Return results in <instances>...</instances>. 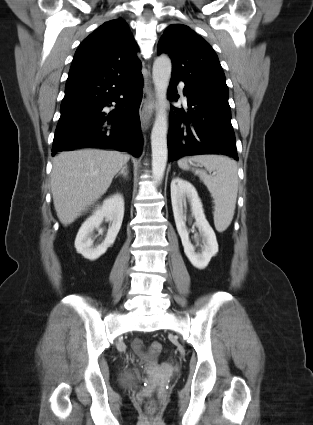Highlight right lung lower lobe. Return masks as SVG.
Returning a JSON list of instances; mask_svg holds the SVG:
<instances>
[{
  "label": "right lung lower lobe",
  "instance_id": "1",
  "mask_svg": "<svg viewBox=\"0 0 313 425\" xmlns=\"http://www.w3.org/2000/svg\"><path fill=\"white\" fill-rule=\"evenodd\" d=\"M142 94L141 68L124 74L107 71L68 77L52 156L91 147L112 148L138 157L143 143L138 114ZM111 102L117 103L116 108L107 112L105 107Z\"/></svg>",
  "mask_w": 313,
  "mask_h": 425
}]
</instances>
